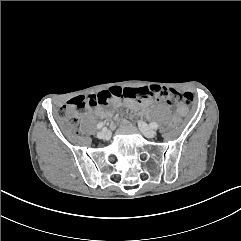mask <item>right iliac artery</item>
Returning <instances> with one entry per match:
<instances>
[{
    "label": "right iliac artery",
    "mask_w": 241,
    "mask_h": 241,
    "mask_svg": "<svg viewBox=\"0 0 241 241\" xmlns=\"http://www.w3.org/2000/svg\"><path fill=\"white\" fill-rule=\"evenodd\" d=\"M103 126H104L103 122H100L97 124V129H101L103 128Z\"/></svg>",
    "instance_id": "1"
}]
</instances>
